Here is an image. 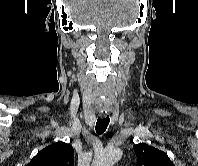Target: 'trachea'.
Masks as SVG:
<instances>
[{
	"mask_svg": "<svg viewBox=\"0 0 198 166\" xmlns=\"http://www.w3.org/2000/svg\"><path fill=\"white\" fill-rule=\"evenodd\" d=\"M109 122H110L109 115H107L106 117H103V118L99 117L96 122V128H95L96 132L100 135L103 134L106 131V129L109 125Z\"/></svg>",
	"mask_w": 198,
	"mask_h": 166,
	"instance_id": "trachea-1",
	"label": "trachea"
}]
</instances>
